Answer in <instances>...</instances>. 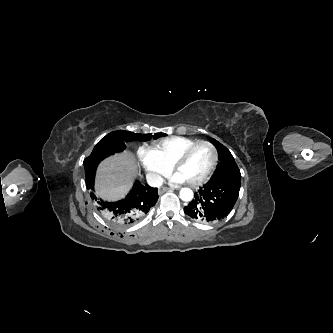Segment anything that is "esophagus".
Here are the masks:
<instances>
[{
  "label": "esophagus",
  "mask_w": 333,
  "mask_h": 333,
  "mask_svg": "<svg viewBox=\"0 0 333 333\" xmlns=\"http://www.w3.org/2000/svg\"><path fill=\"white\" fill-rule=\"evenodd\" d=\"M171 190H172V188H170V187H162L159 189V194H162L164 192L171 191Z\"/></svg>",
  "instance_id": "34e87169"
}]
</instances>
